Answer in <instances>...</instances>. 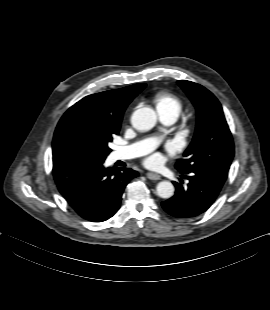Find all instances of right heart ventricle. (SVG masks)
<instances>
[{
	"label": "right heart ventricle",
	"instance_id": "obj_1",
	"mask_svg": "<svg viewBox=\"0 0 270 310\" xmlns=\"http://www.w3.org/2000/svg\"><path fill=\"white\" fill-rule=\"evenodd\" d=\"M160 116L178 117L182 111V103L177 96L167 91H160L153 98Z\"/></svg>",
	"mask_w": 270,
	"mask_h": 310
}]
</instances>
